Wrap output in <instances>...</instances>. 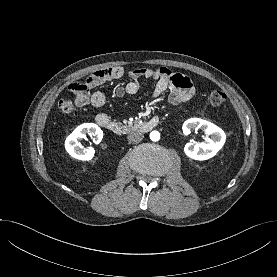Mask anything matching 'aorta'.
Returning a JSON list of instances; mask_svg holds the SVG:
<instances>
[{
	"mask_svg": "<svg viewBox=\"0 0 277 277\" xmlns=\"http://www.w3.org/2000/svg\"><path fill=\"white\" fill-rule=\"evenodd\" d=\"M150 139L152 140V141H159V139H160V133L158 132V131H152L151 133H150Z\"/></svg>",
	"mask_w": 277,
	"mask_h": 277,
	"instance_id": "aorta-1",
	"label": "aorta"
}]
</instances>
